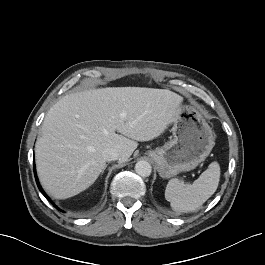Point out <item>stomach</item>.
Returning a JSON list of instances; mask_svg holds the SVG:
<instances>
[{
	"label": "stomach",
	"instance_id": "0dacf381",
	"mask_svg": "<svg viewBox=\"0 0 265 265\" xmlns=\"http://www.w3.org/2000/svg\"><path fill=\"white\" fill-rule=\"evenodd\" d=\"M172 124L173 139L148 152L163 178L195 169L208 157L215 145L211 127L190 105L179 107Z\"/></svg>",
	"mask_w": 265,
	"mask_h": 265
}]
</instances>
